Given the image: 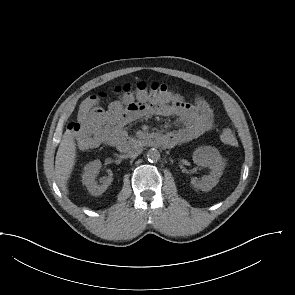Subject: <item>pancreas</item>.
I'll use <instances>...</instances> for the list:
<instances>
[{"instance_id":"obj_1","label":"pancreas","mask_w":295,"mask_h":295,"mask_svg":"<svg viewBox=\"0 0 295 295\" xmlns=\"http://www.w3.org/2000/svg\"><path fill=\"white\" fill-rule=\"evenodd\" d=\"M130 142H133V143H134V142H136V139L131 138V139H130Z\"/></svg>"}]
</instances>
